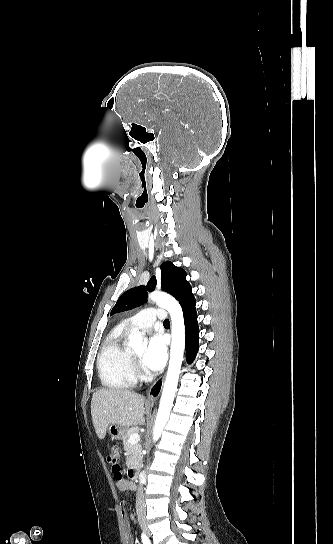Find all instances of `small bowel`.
Instances as JSON below:
<instances>
[{"label":"small bowel","instance_id":"small-bowel-1","mask_svg":"<svg viewBox=\"0 0 333 544\" xmlns=\"http://www.w3.org/2000/svg\"><path fill=\"white\" fill-rule=\"evenodd\" d=\"M116 487H117L118 490H120L122 492H127V491L133 489V483L128 481V480L122 479V480L117 481ZM122 515H123L124 518L126 517L125 511L122 512ZM126 540H127L128 544H133L134 540H133V536H132V534L130 532L127 533Z\"/></svg>","mask_w":333,"mask_h":544}]
</instances>
